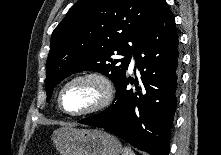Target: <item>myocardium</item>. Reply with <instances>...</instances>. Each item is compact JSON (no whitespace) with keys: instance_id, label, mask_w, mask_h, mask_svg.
<instances>
[{"instance_id":"myocardium-1","label":"myocardium","mask_w":221,"mask_h":155,"mask_svg":"<svg viewBox=\"0 0 221 155\" xmlns=\"http://www.w3.org/2000/svg\"><path fill=\"white\" fill-rule=\"evenodd\" d=\"M78 82H92L94 83L99 89V97L95 104L91 107L78 111V112H71L64 108L62 97L65 90ZM114 98V87L111 80L103 73L96 72V71H87L79 73L70 79H68L60 88L57 102L60 110L68 116L73 117H80V116H87L91 114H95L107 108Z\"/></svg>"}]
</instances>
